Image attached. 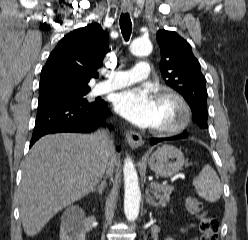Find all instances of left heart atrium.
I'll return each mask as SVG.
<instances>
[{
    "mask_svg": "<svg viewBox=\"0 0 248 240\" xmlns=\"http://www.w3.org/2000/svg\"><path fill=\"white\" fill-rule=\"evenodd\" d=\"M114 108L137 126L154 128L159 123L158 97L150 89L132 87L120 92L115 98Z\"/></svg>",
    "mask_w": 248,
    "mask_h": 240,
    "instance_id": "obj_1",
    "label": "left heart atrium"
}]
</instances>
